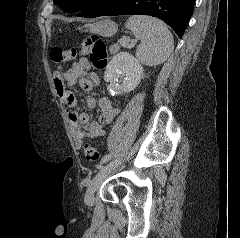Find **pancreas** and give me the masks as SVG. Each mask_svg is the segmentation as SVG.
Instances as JSON below:
<instances>
[{"label":"pancreas","mask_w":240,"mask_h":238,"mask_svg":"<svg viewBox=\"0 0 240 238\" xmlns=\"http://www.w3.org/2000/svg\"><path fill=\"white\" fill-rule=\"evenodd\" d=\"M120 46H122L121 43H120V44H113V45H111V46L109 47L110 53H111V54H114V53L118 52L119 49H120Z\"/></svg>","instance_id":"1"}]
</instances>
